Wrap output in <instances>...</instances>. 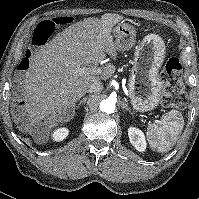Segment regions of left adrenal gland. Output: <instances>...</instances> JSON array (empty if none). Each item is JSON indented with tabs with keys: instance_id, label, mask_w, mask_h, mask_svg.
<instances>
[{
	"instance_id": "1",
	"label": "left adrenal gland",
	"mask_w": 199,
	"mask_h": 199,
	"mask_svg": "<svg viewBox=\"0 0 199 199\" xmlns=\"http://www.w3.org/2000/svg\"><path fill=\"white\" fill-rule=\"evenodd\" d=\"M122 108L126 109L129 113H131V109L128 107V105L124 101L122 102Z\"/></svg>"
}]
</instances>
